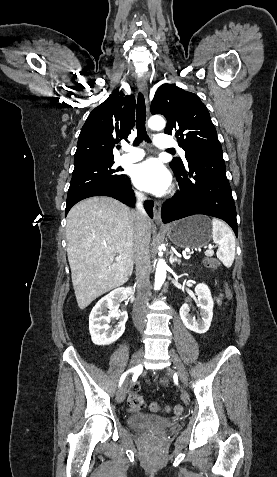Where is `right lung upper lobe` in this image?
<instances>
[{
  "label": "right lung upper lobe",
  "mask_w": 277,
  "mask_h": 477,
  "mask_svg": "<svg viewBox=\"0 0 277 477\" xmlns=\"http://www.w3.org/2000/svg\"><path fill=\"white\" fill-rule=\"evenodd\" d=\"M135 98L114 91L89 114L83 125L74 156L75 167L113 161V148L127 139L134 126Z\"/></svg>",
  "instance_id": "obj_1"
}]
</instances>
